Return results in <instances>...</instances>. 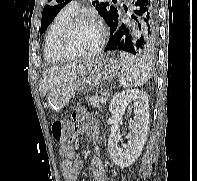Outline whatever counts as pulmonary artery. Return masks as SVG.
Instances as JSON below:
<instances>
[{"label": "pulmonary artery", "mask_w": 197, "mask_h": 181, "mask_svg": "<svg viewBox=\"0 0 197 181\" xmlns=\"http://www.w3.org/2000/svg\"><path fill=\"white\" fill-rule=\"evenodd\" d=\"M67 8L76 13L79 8V2L77 0H73L68 3Z\"/></svg>", "instance_id": "1"}]
</instances>
